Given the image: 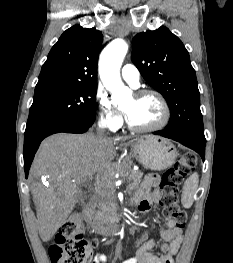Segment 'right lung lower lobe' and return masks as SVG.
<instances>
[{
  "label": "right lung lower lobe",
  "mask_w": 233,
  "mask_h": 263,
  "mask_svg": "<svg viewBox=\"0 0 233 263\" xmlns=\"http://www.w3.org/2000/svg\"><path fill=\"white\" fill-rule=\"evenodd\" d=\"M94 121L95 115L79 119L61 120L25 133L23 156L26 178L34 155L45 137L58 132L84 133L92 126Z\"/></svg>",
  "instance_id": "right-lung-lower-lobe-1"
}]
</instances>
